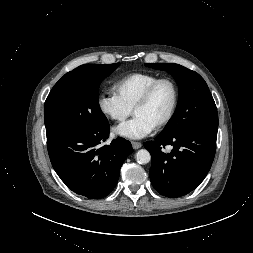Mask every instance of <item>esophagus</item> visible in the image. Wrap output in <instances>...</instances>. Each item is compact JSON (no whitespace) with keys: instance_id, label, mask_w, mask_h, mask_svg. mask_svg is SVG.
<instances>
[{"instance_id":"esophagus-1","label":"esophagus","mask_w":253,"mask_h":253,"mask_svg":"<svg viewBox=\"0 0 253 253\" xmlns=\"http://www.w3.org/2000/svg\"><path fill=\"white\" fill-rule=\"evenodd\" d=\"M132 147H133V149H139V148L142 147V143L133 141L132 142Z\"/></svg>"}]
</instances>
